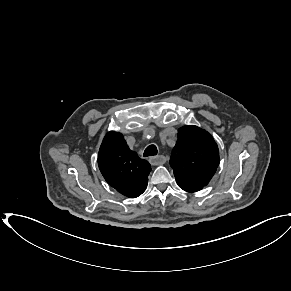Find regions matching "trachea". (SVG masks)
<instances>
[{
	"mask_svg": "<svg viewBox=\"0 0 291 291\" xmlns=\"http://www.w3.org/2000/svg\"><path fill=\"white\" fill-rule=\"evenodd\" d=\"M157 147L155 145H149L145 151H144V154L143 156L144 157H148V156H154V155H157Z\"/></svg>",
	"mask_w": 291,
	"mask_h": 291,
	"instance_id": "3493384b",
	"label": "trachea"
}]
</instances>
